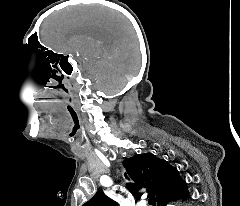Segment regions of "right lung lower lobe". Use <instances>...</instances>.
<instances>
[{"label": "right lung lower lobe", "instance_id": "right-lung-lower-lobe-1", "mask_svg": "<svg viewBox=\"0 0 240 206\" xmlns=\"http://www.w3.org/2000/svg\"><path fill=\"white\" fill-rule=\"evenodd\" d=\"M187 193V188H186V184L180 188L178 191H176L174 194L162 199L160 202H158V206H165L167 204V202H170L172 200H176L178 198H180L181 196L184 197V195Z\"/></svg>", "mask_w": 240, "mask_h": 206}]
</instances>
